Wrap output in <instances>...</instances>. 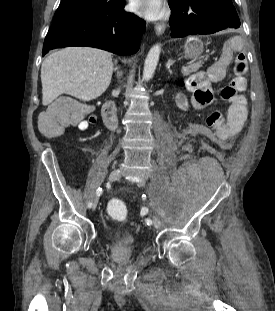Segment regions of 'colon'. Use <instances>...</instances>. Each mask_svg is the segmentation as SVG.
Masks as SVG:
<instances>
[{
    "instance_id": "colon-1",
    "label": "colon",
    "mask_w": 275,
    "mask_h": 311,
    "mask_svg": "<svg viewBox=\"0 0 275 311\" xmlns=\"http://www.w3.org/2000/svg\"><path fill=\"white\" fill-rule=\"evenodd\" d=\"M234 72L235 77L223 87L220 93L221 99L225 102L233 101L246 88L247 62L245 57L235 58ZM79 121L80 117L74 111L73 103L70 100H59L54 102L45 113L40 115L39 126L43 134L56 136L63 127L78 123ZM107 209L115 218H124L127 214L125 204L117 199L110 200L107 204Z\"/></svg>"
}]
</instances>
